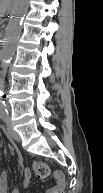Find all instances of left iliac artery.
Masks as SVG:
<instances>
[{"label":"left iliac artery","instance_id":"obj_1","mask_svg":"<svg viewBox=\"0 0 103 193\" xmlns=\"http://www.w3.org/2000/svg\"><path fill=\"white\" fill-rule=\"evenodd\" d=\"M1 118H2V120L5 122V123H8L9 122V114H8V112L6 111V112H2L1 113Z\"/></svg>","mask_w":103,"mask_h":193}]
</instances>
